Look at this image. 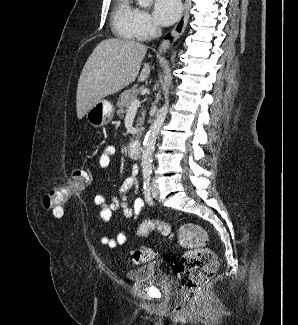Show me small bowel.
<instances>
[{"mask_svg": "<svg viewBox=\"0 0 298 325\" xmlns=\"http://www.w3.org/2000/svg\"><path fill=\"white\" fill-rule=\"evenodd\" d=\"M115 153L116 148L113 145L106 146L99 157V166L102 169L107 168ZM137 172V167H133L130 176L125 179L119 189V196L111 198L109 203H107V196L105 194H97L95 196L94 203L99 209V216L103 221H108L114 211L120 210L131 221L127 230L133 227L145 204L144 200L138 196L139 181L137 179ZM129 192H132L134 195L132 202L128 199ZM127 230L120 232L115 238L108 233H103L100 241L109 248L123 245L127 241Z\"/></svg>", "mask_w": 298, "mask_h": 325, "instance_id": "1", "label": "small bowel"}]
</instances>
